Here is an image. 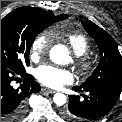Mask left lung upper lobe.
<instances>
[{
    "instance_id": "5c2ea615",
    "label": "left lung upper lobe",
    "mask_w": 122,
    "mask_h": 122,
    "mask_svg": "<svg viewBox=\"0 0 122 122\" xmlns=\"http://www.w3.org/2000/svg\"><path fill=\"white\" fill-rule=\"evenodd\" d=\"M82 25L98 45L100 62L86 82L78 87L113 86L122 88V57L115 41L107 32L89 20L82 22Z\"/></svg>"
}]
</instances>
